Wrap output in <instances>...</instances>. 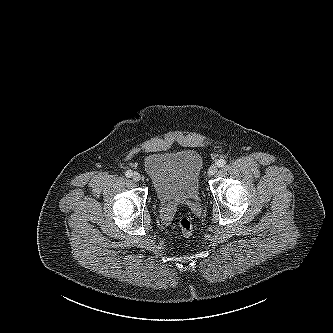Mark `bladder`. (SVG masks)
Masks as SVG:
<instances>
[{"mask_svg": "<svg viewBox=\"0 0 333 333\" xmlns=\"http://www.w3.org/2000/svg\"><path fill=\"white\" fill-rule=\"evenodd\" d=\"M202 169V156L194 149L151 153L144 160L145 173L161 202L196 199Z\"/></svg>", "mask_w": 333, "mask_h": 333, "instance_id": "bladder-1", "label": "bladder"}]
</instances>
